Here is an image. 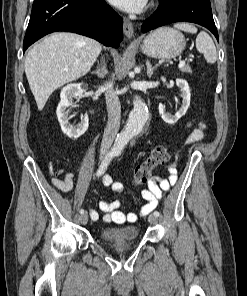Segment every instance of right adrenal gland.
Instances as JSON below:
<instances>
[{
    "mask_svg": "<svg viewBox=\"0 0 247 296\" xmlns=\"http://www.w3.org/2000/svg\"><path fill=\"white\" fill-rule=\"evenodd\" d=\"M91 73L96 74L100 79L103 78L107 73L105 63L103 62L101 66L98 69H96V71H93Z\"/></svg>",
    "mask_w": 247,
    "mask_h": 296,
    "instance_id": "1",
    "label": "right adrenal gland"
}]
</instances>
